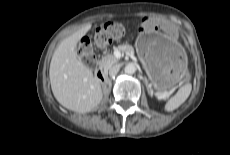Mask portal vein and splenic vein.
I'll return each instance as SVG.
<instances>
[{
    "instance_id": "1",
    "label": "portal vein and splenic vein",
    "mask_w": 230,
    "mask_h": 155,
    "mask_svg": "<svg viewBox=\"0 0 230 155\" xmlns=\"http://www.w3.org/2000/svg\"><path fill=\"white\" fill-rule=\"evenodd\" d=\"M176 88H172L171 92L175 91ZM162 98H166V95H162Z\"/></svg>"
}]
</instances>
